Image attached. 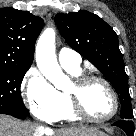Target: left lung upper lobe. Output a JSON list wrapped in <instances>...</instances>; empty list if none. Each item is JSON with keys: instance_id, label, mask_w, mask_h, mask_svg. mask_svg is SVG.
<instances>
[{"instance_id": "1", "label": "left lung upper lobe", "mask_w": 136, "mask_h": 136, "mask_svg": "<svg viewBox=\"0 0 136 136\" xmlns=\"http://www.w3.org/2000/svg\"><path fill=\"white\" fill-rule=\"evenodd\" d=\"M55 22L66 42L111 82L121 103V120L133 118L124 61L117 34L98 15L85 10L59 13Z\"/></svg>"}]
</instances>
